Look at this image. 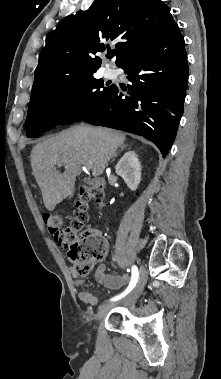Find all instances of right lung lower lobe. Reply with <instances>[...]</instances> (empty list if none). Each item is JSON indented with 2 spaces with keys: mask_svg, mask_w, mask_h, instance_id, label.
<instances>
[{
  "mask_svg": "<svg viewBox=\"0 0 221 379\" xmlns=\"http://www.w3.org/2000/svg\"><path fill=\"white\" fill-rule=\"evenodd\" d=\"M118 67L131 82L112 85L108 94L86 115L74 120L144 136L165 157L183 113L188 82L184 39L178 25L125 57Z\"/></svg>",
  "mask_w": 221,
  "mask_h": 379,
  "instance_id": "obj_1",
  "label": "right lung lower lobe"
}]
</instances>
